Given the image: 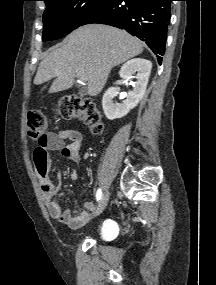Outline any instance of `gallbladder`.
I'll list each match as a JSON object with an SVG mask.
<instances>
[{
	"label": "gallbladder",
	"instance_id": "gallbladder-1",
	"mask_svg": "<svg viewBox=\"0 0 216 285\" xmlns=\"http://www.w3.org/2000/svg\"><path fill=\"white\" fill-rule=\"evenodd\" d=\"M79 95L84 96L86 94V90L84 88L79 89Z\"/></svg>",
	"mask_w": 216,
	"mask_h": 285
}]
</instances>
